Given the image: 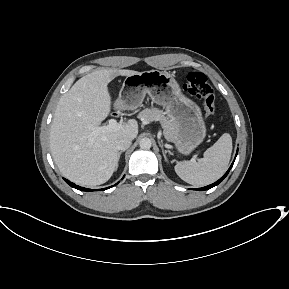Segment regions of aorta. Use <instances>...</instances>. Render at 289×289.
<instances>
[{"label": "aorta", "instance_id": "aorta-1", "mask_svg": "<svg viewBox=\"0 0 289 289\" xmlns=\"http://www.w3.org/2000/svg\"><path fill=\"white\" fill-rule=\"evenodd\" d=\"M152 145L151 139L149 138H142L139 142V146L142 149H150Z\"/></svg>", "mask_w": 289, "mask_h": 289}]
</instances>
